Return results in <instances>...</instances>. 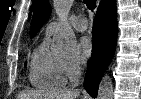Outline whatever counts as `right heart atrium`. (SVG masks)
I'll return each instance as SVG.
<instances>
[{
	"label": "right heart atrium",
	"instance_id": "1",
	"mask_svg": "<svg viewBox=\"0 0 141 99\" xmlns=\"http://www.w3.org/2000/svg\"><path fill=\"white\" fill-rule=\"evenodd\" d=\"M82 71V63L78 59L64 61V75L68 80H75Z\"/></svg>",
	"mask_w": 141,
	"mask_h": 99
}]
</instances>
